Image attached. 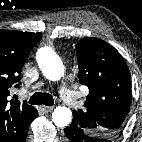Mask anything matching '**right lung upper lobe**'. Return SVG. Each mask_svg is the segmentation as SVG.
Returning a JSON list of instances; mask_svg holds the SVG:
<instances>
[{
	"label": "right lung upper lobe",
	"instance_id": "cb5924a9",
	"mask_svg": "<svg viewBox=\"0 0 142 142\" xmlns=\"http://www.w3.org/2000/svg\"><path fill=\"white\" fill-rule=\"evenodd\" d=\"M41 35L0 30V142H21L38 116L36 108L8 96L12 85L20 86L22 67Z\"/></svg>",
	"mask_w": 142,
	"mask_h": 142
}]
</instances>
